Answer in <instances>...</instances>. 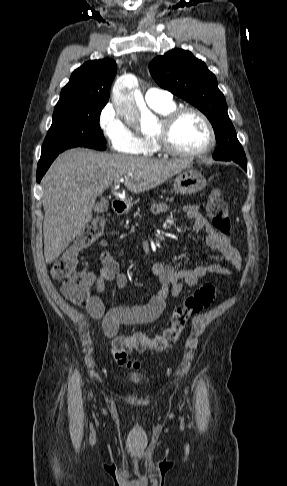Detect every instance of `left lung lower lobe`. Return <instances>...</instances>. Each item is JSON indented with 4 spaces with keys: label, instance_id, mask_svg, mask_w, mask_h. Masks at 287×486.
Here are the masks:
<instances>
[{
    "label": "left lung lower lobe",
    "instance_id": "obj_1",
    "mask_svg": "<svg viewBox=\"0 0 287 486\" xmlns=\"http://www.w3.org/2000/svg\"><path fill=\"white\" fill-rule=\"evenodd\" d=\"M236 163H239L243 167V169L247 171V161L246 160L245 161H239V162H236Z\"/></svg>",
    "mask_w": 287,
    "mask_h": 486
}]
</instances>
